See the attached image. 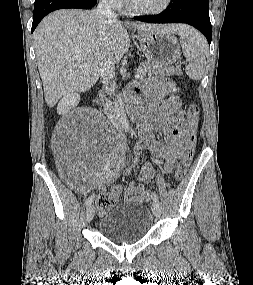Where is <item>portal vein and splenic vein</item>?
Returning a JSON list of instances; mask_svg holds the SVG:
<instances>
[{
  "label": "portal vein and splenic vein",
  "instance_id": "1",
  "mask_svg": "<svg viewBox=\"0 0 253 285\" xmlns=\"http://www.w3.org/2000/svg\"><path fill=\"white\" fill-rule=\"evenodd\" d=\"M145 74L143 72H141L140 70L137 71V74L135 75V78L139 79V78H144Z\"/></svg>",
  "mask_w": 253,
  "mask_h": 285
}]
</instances>
